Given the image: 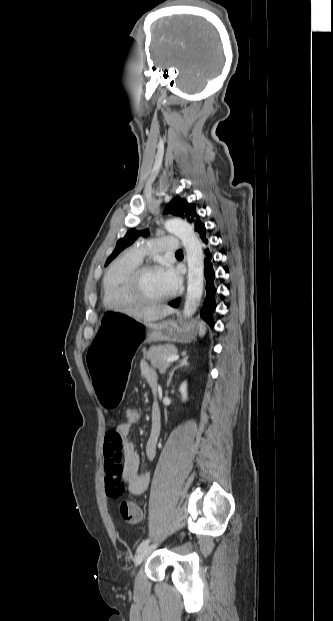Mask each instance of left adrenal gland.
Segmentation results:
<instances>
[{
	"label": "left adrenal gland",
	"mask_w": 333,
	"mask_h": 621,
	"mask_svg": "<svg viewBox=\"0 0 333 621\" xmlns=\"http://www.w3.org/2000/svg\"><path fill=\"white\" fill-rule=\"evenodd\" d=\"M182 356L183 359L179 361V364L177 366H175L172 371L169 374V378L167 380V387L170 385V382L172 380V377L174 375V372L178 369V368H182V367H187L189 365L188 363V356H186L185 352H182Z\"/></svg>",
	"instance_id": "obj_1"
}]
</instances>
